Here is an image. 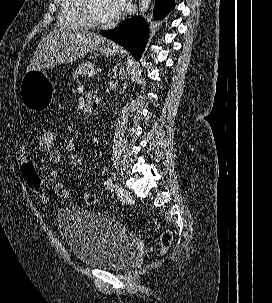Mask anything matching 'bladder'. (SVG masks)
Wrapping results in <instances>:
<instances>
[{
    "label": "bladder",
    "mask_w": 272,
    "mask_h": 303,
    "mask_svg": "<svg viewBox=\"0 0 272 303\" xmlns=\"http://www.w3.org/2000/svg\"><path fill=\"white\" fill-rule=\"evenodd\" d=\"M56 222L69 249L84 266L118 270L135 255L134 234L108 215L65 206L59 210Z\"/></svg>",
    "instance_id": "obj_1"
}]
</instances>
